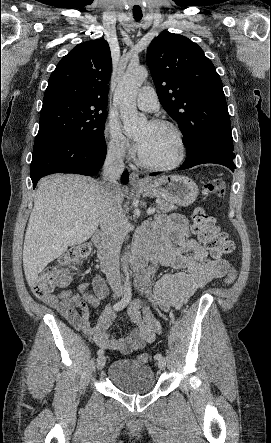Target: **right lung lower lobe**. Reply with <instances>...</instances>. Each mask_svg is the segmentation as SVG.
<instances>
[{
	"label": "right lung lower lobe",
	"instance_id": "1",
	"mask_svg": "<svg viewBox=\"0 0 271 443\" xmlns=\"http://www.w3.org/2000/svg\"><path fill=\"white\" fill-rule=\"evenodd\" d=\"M105 139L84 144L67 140H48L33 151L31 179L35 188L40 178L53 173H76L86 176L97 174L106 156ZM128 172L122 174L127 183Z\"/></svg>",
	"mask_w": 271,
	"mask_h": 443
}]
</instances>
